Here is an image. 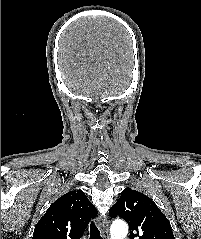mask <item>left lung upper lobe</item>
Here are the masks:
<instances>
[{
	"mask_svg": "<svg viewBox=\"0 0 201 239\" xmlns=\"http://www.w3.org/2000/svg\"><path fill=\"white\" fill-rule=\"evenodd\" d=\"M109 215L127 221L131 239H174L169 220L149 197L136 190L122 191Z\"/></svg>",
	"mask_w": 201,
	"mask_h": 239,
	"instance_id": "obj_1",
	"label": "left lung upper lobe"
}]
</instances>
